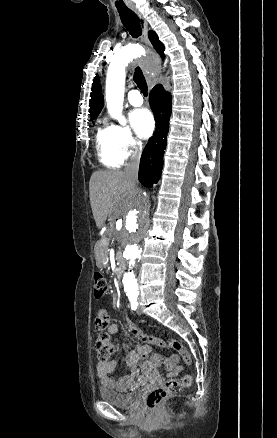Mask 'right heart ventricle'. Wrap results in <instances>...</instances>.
Segmentation results:
<instances>
[{
  "mask_svg": "<svg viewBox=\"0 0 277 438\" xmlns=\"http://www.w3.org/2000/svg\"><path fill=\"white\" fill-rule=\"evenodd\" d=\"M96 147L99 161L110 169H118L123 163V158L117 150L114 125H105L98 130Z\"/></svg>",
  "mask_w": 277,
  "mask_h": 438,
  "instance_id": "obj_1",
  "label": "right heart ventricle"
}]
</instances>
